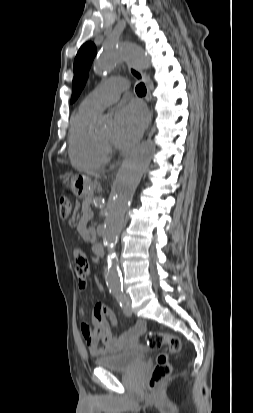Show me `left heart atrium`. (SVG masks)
Instances as JSON below:
<instances>
[{
    "label": "left heart atrium",
    "mask_w": 253,
    "mask_h": 413,
    "mask_svg": "<svg viewBox=\"0 0 253 413\" xmlns=\"http://www.w3.org/2000/svg\"><path fill=\"white\" fill-rule=\"evenodd\" d=\"M146 124V115L138 104L121 107L115 118L114 142L119 147H128L142 134Z\"/></svg>",
    "instance_id": "left-heart-atrium-1"
}]
</instances>
